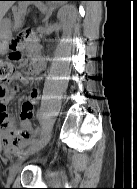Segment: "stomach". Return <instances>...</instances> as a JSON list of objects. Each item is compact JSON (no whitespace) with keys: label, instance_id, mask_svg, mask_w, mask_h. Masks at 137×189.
Wrapping results in <instances>:
<instances>
[{"label":"stomach","instance_id":"1","mask_svg":"<svg viewBox=\"0 0 137 189\" xmlns=\"http://www.w3.org/2000/svg\"><path fill=\"white\" fill-rule=\"evenodd\" d=\"M10 38V21L7 19L0 21V44H7Z\"/></svg>","mask_w":137,"mask_h":189}]
</instances>
